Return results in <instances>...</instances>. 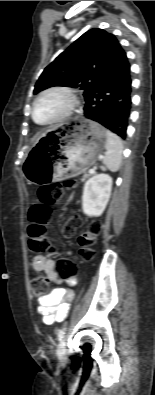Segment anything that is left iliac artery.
Instances as JSON below:
<instances>
[{"label": "left iliac artery", "instance_id": "left-iliac-artery-1", "mask_svg": "<svg viewBox=\"0 0 155 395\" xmlns=\"http://www.w3.org/2000/svg\"><path fill=\"white\" fill-rule=\"evenodd\" d=\"M65 331H66V328H62L59 330V333H58L59 340H61V338L65 334Z\"/></svg>", "mask_w": 155, "mask_h": 395}]
</instances>
